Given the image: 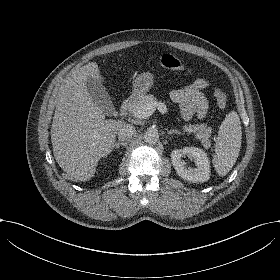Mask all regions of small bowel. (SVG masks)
<instances>
[{
	"label": "small bowel",
	"instance_id": "c3829d8e",
	"mask_svg": "<svg viewBox=\"0 0 280 280\" xmlns=\"http://www.w3.org/2000/svg\"><path fill=\"white\" fill-rule=\"evenodd\" d=\"M209 86V80L198 78L187 86L171 91L170 97L179 105L185 120H191L194 117L203 119L206 116L208 103L202 91Z\"/></svg>",
	"mask_w": 280,
	"mask_h": 280
}]
</instances>
